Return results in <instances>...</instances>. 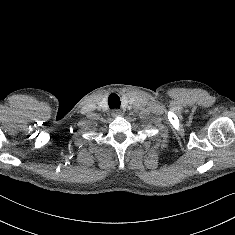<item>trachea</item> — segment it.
<instances>
[{
  "label": "trachea",
  "mask_w": 235,
  "mask_h": 235,
  "mask_svg": "<svg viewBox=\"0 0 235 235\" xmlns=\"http://www.w3.org/2000/svg\"><path fill=\"white\" fill-rule=\"evenodd\" d=\"M108 104L111 109L120 108V98L117 94L112 93L108 97Z\"/></svg>",
  "instance_id": "trachea-1"
}]
</instances>
